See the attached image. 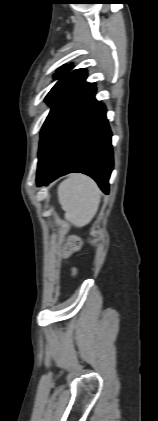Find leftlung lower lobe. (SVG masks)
Instances as JSON below:
<instances>
[{"mask_svg": "<svg viewBox=\"0 0 158 421\" xmlns=\"http://www.w3.org/2000/svg\"><path fill=\"white\" fill-rule=\"evenodd\" d=\"M86 83L57 113L41 135L37 185L71 172L91 176L105 194L113 169L111 131L104 105Z\"/></svg>", "mask_w": 158, "mask_h": 421, "instance_id": "0a47b994", "label": "left lung lower lobe"}]
</instances>
